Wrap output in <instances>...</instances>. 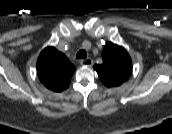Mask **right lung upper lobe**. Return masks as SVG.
<instances>
[{
	"instance_id": "obj_1",
	"label": "right lung upper lobe",
	"mask_w": 172,
	"mask_h": 134,
	"mask_svg": "<svg viewBox=\"0 0 172 134\" xmlns=\"http://www.w3.org/2000/svg\"><path fill=\"white\" fill-rule=\"evenodd\" d=\"M76 68L65 54L54 47L45 48L37 60V74L44 86L52 91L67 89Z\"/></svg>"
}]
</instances>
